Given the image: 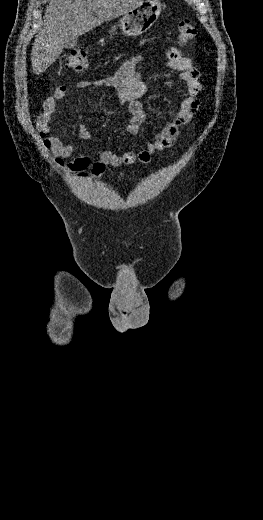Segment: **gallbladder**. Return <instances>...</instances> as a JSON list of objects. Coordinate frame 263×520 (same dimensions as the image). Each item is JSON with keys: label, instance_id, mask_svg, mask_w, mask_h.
I'll return each mask as SVG.
<instances>
[{"label": "gallbladder", "instance_id": "gallbladder-1", "mask_svg": "<svg viewBox=\"0 0 263 520\" xmlns=\"http://www.w3.org/2000/svg\"><path fill=\"white\" fill-rule=\"evenodd\" d=\"M65 40H67L65 43L66 48H74L77 44V37L73 36L72 34H69L67 37H65Z\"/></svg>", "mask_w": 263, "mask_h": 520}]
</instances>
